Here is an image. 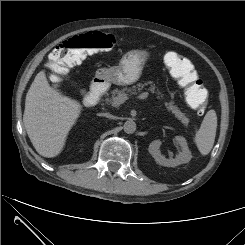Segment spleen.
<instances>
[{"label": "spleen", "instance_id": "1", "mask_svg": "<svg viewBox=\"0 0 245 245\" xmlns=\"http://www.w3.org/2000/svg\"><path fill=\"white\" fill-rule=\"evenodd\" d=\"M217 129V115L214 110H209L197 131L194 141L200 153L207 155L213 148Z\"/></svg>", "mask_w": 245, "mask_h": 245}]
</instances>
